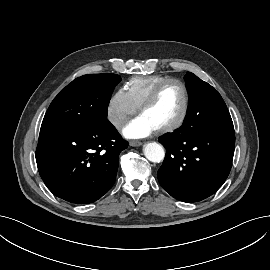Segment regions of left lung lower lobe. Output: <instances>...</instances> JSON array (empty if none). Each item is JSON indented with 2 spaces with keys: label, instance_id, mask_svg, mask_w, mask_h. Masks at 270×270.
<instances>
[{
  "label": "left lung lower lobe",
  "instance_id": "obj_1",
  "mask_svg": "<svg viewBox=\"0 0 270 270\" xmlns=\"http://www.w3.org/2000/svg\"><path fill=\"white\" fill-rule=\"evenodd\" d=\"M166 156L158 170L160 185L174 198L198 202L214 194L232 166L234 128L204 129L188 122L160 137Z\"/></svg>",
  "mask_w": 270,
  "mask_h": 270
}]
</instances>
